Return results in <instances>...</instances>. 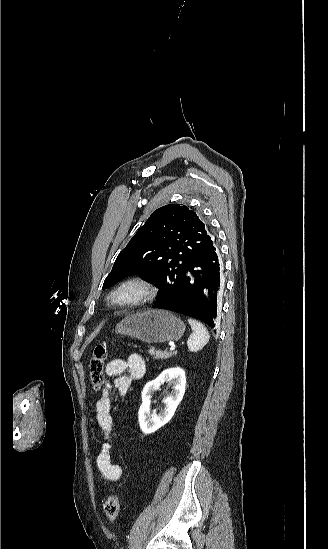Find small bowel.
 <instances>
[{"mask_svg": "<svg viewBox=\"0 0 328 549\" xmlns=\"http://www.w3.org/2000/svg\"><path fill=\"white\" fill-rule=\"evenodd\" d=\"M145 371V361L139 354H131L126 359L115 358L106 366V374L113 377V381L106 382L102 394L95 404L96 420L103 437L100 451L96 457V466L101 477L110 482L120 480L123 475L121 466L113 463L111 459L113 431L111 389L113 388L120 395L125 396L132 381L142 378Z\"/></svg>", "mask_w": 328, "mask_h": 549, "instance_id": "obj_1", "label": "small bowel"}]
</instances>
